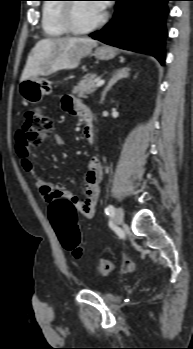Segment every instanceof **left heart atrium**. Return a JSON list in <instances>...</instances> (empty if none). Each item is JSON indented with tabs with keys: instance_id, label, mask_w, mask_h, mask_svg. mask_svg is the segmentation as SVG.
<instances>
[{
	"instance_id": "left-heart-atrium-1",
	"label": "left heart atrium",
	"mask_w": 193,
	"mask_h": 349,
	"mask_svg": "<svg viewBox=\"0 0 193 349\" xmlns=\"http://www.w3.org/2000/svg\"><path fill=\"white\" fill-rule=\"evenodd\" d=\"M94 5L101 12H103L107 7V3L105 1H97Z\"/></svg>"
}]
</instances>
